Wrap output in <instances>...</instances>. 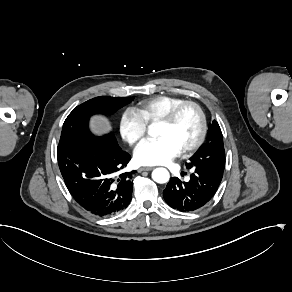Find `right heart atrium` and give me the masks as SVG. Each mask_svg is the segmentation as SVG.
<instances>
[{"mask_svg": "<svg viewBox=\"0 0 292 292\" xmlns=\"http://www.w3.org/2000/svg\"><path fill=\"white\" fill-rule=\"evenodd\" d=\"M118 129L121 138L133 145L143 139L147 131V124L136 109L128 107L119 117Z\"/></svg>", "mask_w": 292, "mask_h": 292, "instance_id": "obj_1", "label": "right heart atrium"}]
</instances>
